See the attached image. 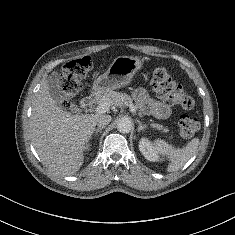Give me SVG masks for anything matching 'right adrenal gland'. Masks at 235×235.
Instances as JSON below:
<instances>
[{"instance_id":"obj_1","label":"right adrenal gland","mask_w":235,"mask_h":235,"mask_svg":"<svg viewBox=\"0 0 235 235\" xmlns=\"http://www.w3.org/2000/svg\"><path fill=\"white\" fill-rule=\"evenodd\" d=\"M105 127H99L95 130V135H97L99 132L101 133L102 130L104 129Z\"/></svg>"}]
</instances>
